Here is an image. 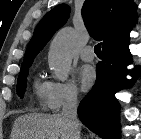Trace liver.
<instances>
[{"label": "liver", "instance_id": "liver-1", "mask_svg": "<svg viewBox=\"0 0 141 139\" xmlns=\"http://www.w3.org/2000/svg\"><path fill=\"white\" fill-rule=\"evenodd\" d=\"M11 139H72L68 122L61 114H24L16 118Z\"/></svg>", "mask_w": 141, "mask_h": 139}]
</instances>
